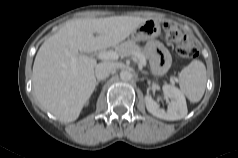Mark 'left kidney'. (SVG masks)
Here are the masks:
<instances>
[{
    "label": "left kidney",
    "mask_w": 238,
    "mask_h": 158,
    "mask_svg": "<svg viewBox=\"0 0 238 158\" xmlns=\"http://www.w3.org/2000/svg\"><path fill=\"white\" fill-rule=\"evenodd\" d=\"M165 96L170 98V106L167 110L160 108V105L151 96H145L146 108L152 115L169 121L180 120L187 113V104L184 94L175 86L165 84L162 87Z\"/></svg>",
    "instance_id": "left-kidney-1"
}]
</instances>
